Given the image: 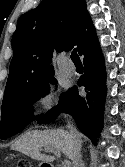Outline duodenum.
I'll return each instance as SVG.
<instances>
[{
  "label": "duodenum",
  "mask_w": 125,
  "mask_h": 167,
  "mask_svg": "<svg viewBox=\"0 0 125 167\" xmlns=\"http://www.w3.org/2000/svg\"><path fill=\"white\" fill-rule=\"evenodd\" d=\"M42 167H53V166L50 165V164L44 163V164L42 165Z\"/></svg>",
  "instance_id": "410a0bca"
}]
</instances>
